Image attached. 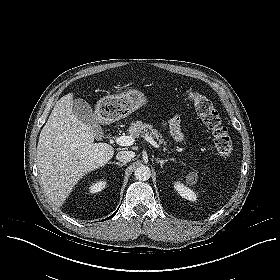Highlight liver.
I'll use <instances>...</instances> for the list:
<instances>
[{"label": "liver", "mask_w": 280, "mask_h": 280, "mask_svg": "<svg viewBox=\"0 0 280 280\" xmlns=\"http://www.w3.org/2000/svg\"><path fill=\"white\" fill-rule=\"evenodd\" d=\"M73 93L60 98L43 126L37 145V168L48 198L61 206L75 184L104 166L114 154L107 143H94L92 128L73 113Z\"/></svg>", "instance_id": "obj_1"}]
</instances>
